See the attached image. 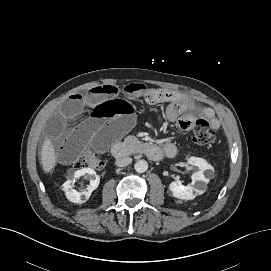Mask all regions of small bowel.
Here are the masks:
<instances>
[{
    "label": "small bowel",
    "instance_id": "1",
    "mask_svg": "<svg viewBox=\"0 0 271 271\" xmlns=\"http://www.w3.org/2000/svg\"><path fill=\"white\" fill-rule=\"evenodd\" d=\"M124 95L130 99L142 98L148 104L167 103L164 117L169 122H176L188 115L194 108L193 101L186 95L165 89L148 88L141 83H131L124 87ZM119 89L113 85H100L84 93L69 96L58 111L47 122V134L55 144L56 158L60 164L72 163L81 151L92 145L102 152L109 143L119 139L134 125V109L128 101L118 97ZM84 111L90 116L77 127H70V122ZM204 111L218 126L210 108ZM162 148L168 157L176 154V147L165 142Z\"/></svg>",
    "mask_w": 271,
    "mask_h": 271
}]
</instances>
